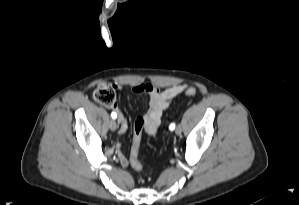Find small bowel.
Here are the masks:
<instances>
[{
    "instance_id": "1",
    "label": "small bowel",
    "mask_w": 299,
    "mask_h": 205,
    "mask_svg": "<svg viewBox=\"0 0 299 205\" xmlns=\"http://www.w3.org/2000/svg\"><path fill=\"white\" fill-rule=\"evenodd\" d=\"M116 87L120 88L119 85H116ZM186 87L187 86L184 84H179L162 90L149 83L137 84L132 87L134 93H146L148 96V109L143 116L145 119L143 131L150 136H155L157 134L164 112L170 106L171 102L182 93ZM127 128L128 122L126 118L120 115L116 148L120 164L124 167L130 164V160L123 154L120 140L123 134L127 131Z\"/></svg>"
}]
</instances>
